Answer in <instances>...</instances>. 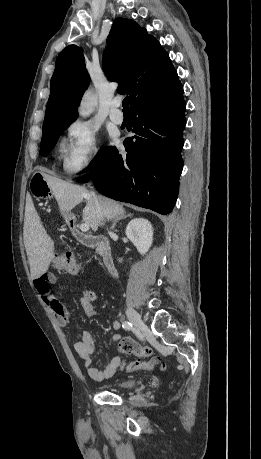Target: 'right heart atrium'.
<instances>
[{
  "label": "right heart atrium",
  "instance_id": "d8ad5b80",
  "mask_svg": "<svg viewBox=\"0 0 261 459\" xmlns=\"http://www.w3.org/2000/svg\"><path fill=\"white\" fill-rule=\"evenodd\" d=\"M69 147L63 161L68 173H79L91 167L99 154L98 135L95 128L84 121H74L68 126Z\"/></svg>",
  "mask_w": 261,
  "mask_h": 459
}]
</instances>
